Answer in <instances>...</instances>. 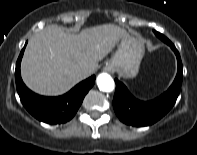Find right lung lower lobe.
Segmentation results:
<instances>
[{
  "instance_id": "obj_1",
  "label": "right lung lower lobe",
  "mask_w": 197,
  "mask_h": 155,
  "mask_svg": "<svg viewBox=\"0 0 197 155\" xmlns=\"http://www.w3.org/2000/svg\"><path fill=\"white\" fill-rule=\"evenodd\" d=\"M22 49L15 69V80L20 100L27 111L39 121L48 124L65 123L73 118L85 95L95 82V76L80 82L64 95L45 97L29 90L21 79L20 64L24 53Z\"/></svg>"
}]
</instances>
